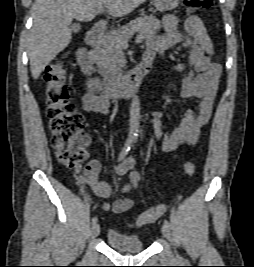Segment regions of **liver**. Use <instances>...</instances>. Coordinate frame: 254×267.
<instances>
[{
  "label": "liver",
  "instance_id": "1",
  "mask_svg": "<svg viewBox=\"0 0 254 267\" xmlns=\"http://www.w3.org/2000/svg\"><path fill=\"white\" fill-rule=\"evenodd\" d=\"M146 0H36L32 6L33 25L28 39L31 74L38 79L45 67L72 39L73 19L88 22L96 9L106 7L114 17H123Z\"/></svg>",
  "mask_w": 254,
  "mask_h": 267
}]
</instances>
